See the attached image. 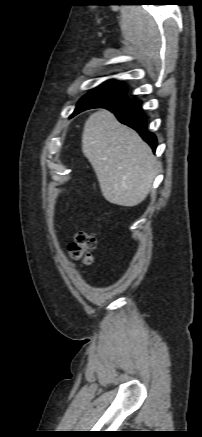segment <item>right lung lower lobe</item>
<instances>
[{
	"mask_svg": "<svg viewBox=\"0 0 202 437\" xmlns=\"http://www.w3.org/2000/svg\"><path fill=\"white\" fill-rule=\"evenodd\" d=\"M100 108H106L113 112L118 120L135 129L140 136L152 147L155 151L157 139L155 135L147 130L146 116L143 113L141 101H121L116 104L104 105Z\"/></svg>",
	"mask_w": 202,
	"mask_h": 437,
	"instance_id": "1",
	"label": "right lung lower lobe"
}]
</instances>
